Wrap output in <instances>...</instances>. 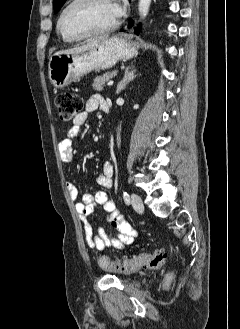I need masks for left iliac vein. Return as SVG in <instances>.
<instances>
[{"label": "left iliac vein", "instance_id": "4c4485c4", "mask_svg": "<svg viewBox=\"0 0 240 329\" xmlns=\"http://www.w3.org/2000/svg\"><path fill=\"white\" fill-rule=\"evenodd\" d=\"M131 204L137 212L139 213L143 212L144 210L143 202L141 198L135 193L131 195Z\"/></svg>", "mask_w": 240, "mask_h": 329}]
</instances>
